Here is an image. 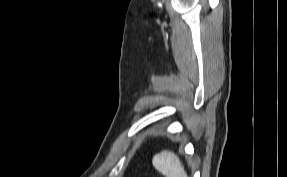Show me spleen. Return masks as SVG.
I'll list each match as a JSON object with an SVG mask.
<instances>
[{
    "instance_id": "3e777b00",
    "label": "spleen",
    "mask_w": 287,
    "mask_h": 177,
    "mask_svg": "<svg viewBox=\"0 0 287 177\" xmlns=\"http://www.w3.org/2000/svg\"><path fill=\"white\" fill-rule=\"evenodd\" d=\"M154 168L166 177H188L180 159L170 151H162L153 156Z\"/></svg>"
}]
</instances>
